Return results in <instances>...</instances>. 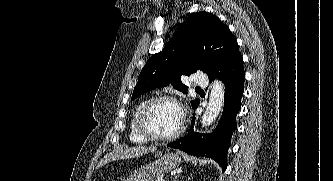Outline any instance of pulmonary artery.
Instances as JSON below:
<instances>
[{"label": "pulmonary artery", "instance_id": "e3ab8cb5", "mask_svg": "<svg viewBox=\"0 0 333 181\" xmlns=\"http://www.w3.org/2000/svg\"><path fill=\"white\" fill-rule=\"evenodd\" d=\"M194 84L198 86H206L208 84V77L204 73H197L194 79Z\"/></svg>", "mask_w": 333, "mask_h": 181}]
</instances>
